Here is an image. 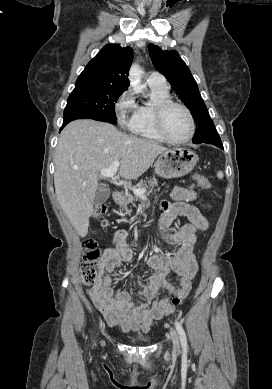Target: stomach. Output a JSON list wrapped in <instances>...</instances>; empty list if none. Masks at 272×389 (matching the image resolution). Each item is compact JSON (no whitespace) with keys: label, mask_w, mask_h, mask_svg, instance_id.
Instances as JSON below:
<instances>
[{"label":"stomach","mask_w":272,"mask_h":389,"mask_svg":"<svg viewBox=\"0 0 272 389\" xmlns=\"http://www.w3.org/2000/svg\"><path fill=\"white\" fill-rule=\"evenodd\" d=\"M198 160V155L191 149L172 148L159 155L155 172L167 179L183 177L193 170Z\"/></svg>","instance_id":"obj_1"}]
</instances>
